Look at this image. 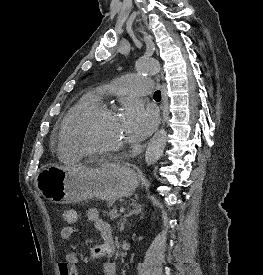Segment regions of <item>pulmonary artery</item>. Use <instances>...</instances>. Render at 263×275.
Wrapping results in <instances>:
<instances>
[{
  "label": "pulmonary artery",
  "mask_w": 263,
  "mask_h": 275,
  "mask_svg": "<svg viewBox=\"0 0 263 275\" xmlns=\"http://www.w3.org/2000/svg\"><path fill=\"white\" fill-rule=\"evenodd\" d=\"M152 87L149 78L129 74L115 81L109 90L121 95L141 96L149 95Z\"/></svg>",
  "instance_id": "1"
}]
</instances>
